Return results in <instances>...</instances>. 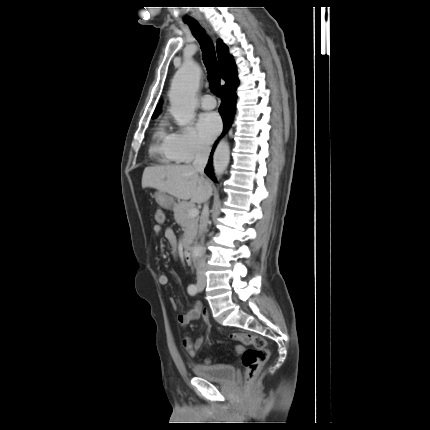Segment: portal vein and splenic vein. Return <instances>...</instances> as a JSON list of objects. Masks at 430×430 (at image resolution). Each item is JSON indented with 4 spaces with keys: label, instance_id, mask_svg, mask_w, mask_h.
Returning a JSON list of instances; mask_svg holds the SVG:
<instances>
[{
    "label": "portal vein and splenic vein",
    "instance_id": "obj_1",
    "mask_svg": "<svg viewBox=\"0 0 430 430\" xmlns=\"http://www.w3.org/2000/svg\"><path fill=\"white\" fill-rule=\"evenodd\" d=\"M189 216L195 217L198 216L199 214V210L196 208H191L188 212Z\"/></svg>",
    "mask_w": 430,
    "mask_h": 430
}]
</instances>
